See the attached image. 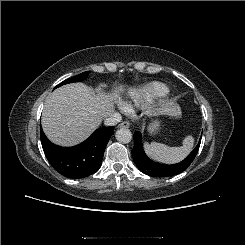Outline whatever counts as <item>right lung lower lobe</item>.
Here are the masks:
<instances>
[{"instance_id":"right-lung-lower-lobe-1","label":"right lung lower lobe","mask_w":245,"mask_h":245,"mask_svg":"<svg viewBox=\"0 0 245 245\" xmlns=\"http://www.w3.org/2000/svg\"><path fill=\"white\" fill-rule=\"evenodd\" d=\"M113 133V126L100 128L83 143L63 148L50 142L40 129L42 147L49 163L61 175L72 179L84 178L99 170L106 145Z\"/></svg>"}]
</instances>
